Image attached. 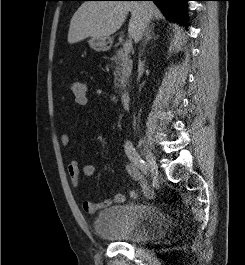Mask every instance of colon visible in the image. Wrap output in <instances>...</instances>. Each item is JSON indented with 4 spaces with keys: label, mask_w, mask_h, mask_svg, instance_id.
Segmentation results:
<instances>
[{
    "label": "colon",
    "mask_w": 245,
    "mask_h": 265,
    "mask_svg": "<svg viewBox=\"0 0 245 265\" xmlns=\"http://www.w3.org/2000/svg\"><path fill=\"white\" fill-rule=\"evenodd\" d=\"M70 93L76 105L85 106L88 104L87 87L83 82L73 81L70 85Z\"/></svg>",
    "instance_id": "5ec220e1"
}]
</instances>
